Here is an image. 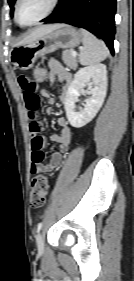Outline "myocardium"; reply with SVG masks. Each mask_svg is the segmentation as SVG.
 Wrapping results in <instances>:
<instances>
[{"instance_id": "1", "label": "myocardium", "mask_w": 134, "mask_h": 281, "mask_svg": "<svg viewBox=\"0 0 134 281\" xmlns=\"http://www.w3.org/2000/svg\"><path fill=\"white\" fill-rule=\"evenodd\" d=\"M20 2H21V0H16V2H15V6H14V19H15L16 23L18 25H20L21 27H32V26L38 25L39 23L44 21L46 18H48L57 9L60 0H52L51 1V5H50L49 9L46 11V13L43 16H41L39 19H37L36 21H34V22L30 23V24H23L19 20L18 8H19Z\"/></svg>"}]
</instances>
